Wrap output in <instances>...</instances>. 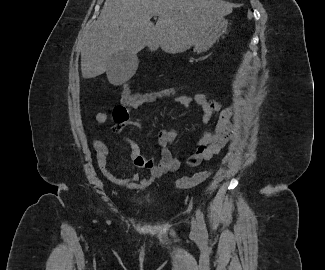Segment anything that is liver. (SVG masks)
<instances>
[{
	"instance_id": "1",
	"label": "liver",
	"mask_w": 325,
	"mask_h": 270,
	"mask_svg": "<svg viewBox=\"0 0 325 270\" xmlns=\"http://www.w3.org/2000/svg\"><path fill=\"white\" fill-rule=\"evenodd\" d=\"M231 12L223 0H106L82 45V77L107 72L110 58L122 51L136 55L146 46H160L167 53H182L196 45L216 19ZM154 15L159 16L156 25L151 22ZM131 77L108 80L120 85Z\"/></svg>"
}]
</instances>
